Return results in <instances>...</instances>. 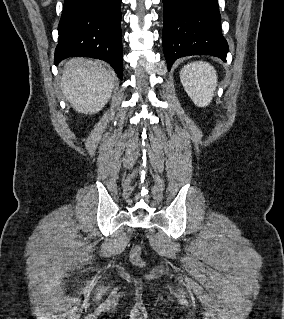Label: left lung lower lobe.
Here are the masks:
<instances>
[{
	"instance_id": "0a47b994",
	"label": "left lung lower lobe",
	"mask_w": 284,
	"mask_h": 319,
	"mask_svg": "<svg viewBox=\"0 0 284 319\" xmlns=\"http://www.w3.org/2000/svg\"><path fill=\"white\" fill-rule=\"evenodd\" d=\"M163 49L168 71L190 55H212L226 61L228 44L221 32L217 0H163Z\"/></svg>"
}]
</instances>
